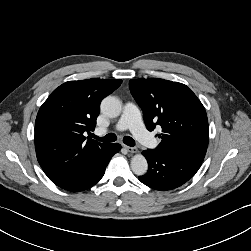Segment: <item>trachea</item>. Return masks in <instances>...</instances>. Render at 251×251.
Returning a JSON list of instances; mask_svg holds the SVG:
<instances>
[{
	"label": "trachea",
	"instance_id": "obj_1",
	"mask_svg": "<svg viewBox=\"0 0 251 251\" xmlns=\"http://www.w3.org/2000/svg\"><path fill=\"white\" fill-rule=\"evenodd\" d=\"M92 137L102 142H114L117 140V136L113 133H109L104 137H98L93 134ZM123 142L130 147H133L135 145V140L130 136H125L123 138Z\"/></svg>",
	"mask_w": 251,
	"mask_h": 251
}]
</instances>
